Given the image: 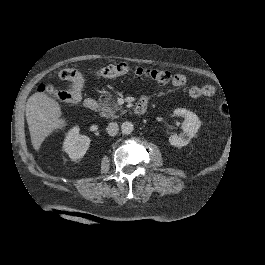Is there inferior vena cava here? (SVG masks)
Returning a JSON list of instances; mask_svg holds the SVG:
<instances>
[{"instance_id":"inferior-vena-cava-1","label":"inferior vena cava","mask_w":265,"mask_h":265,"mask_svg":"<svg viewBox=\"0 0 265 265\" xmlns=\"http://www.w3.org/2000/svg\"><path fill=\"white\" fill-rule=\"evenodd\" d=\"M119 126L116 122L109 123L107 126V132L110 136H115L118 133Z\"/></svg>"}]
</instances>
